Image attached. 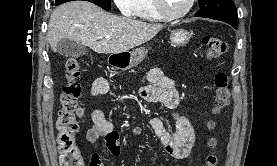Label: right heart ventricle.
<instances>
[{"label": "right heart ventricle", "mask_w": 277, "mask_h": 166, "mask_svg": "<svg viewBox=\"0 0 277 166\" xmlns=\"http://www.w3.org/2000/svg\"><path fill=\"white\" fill-rule=\"evenodd\" d=\"M133 17L150 23L162 22L164 19L157 12L153 0H137Z\"/></svg>", "instance_id": "obj_1"}]
</instances>
